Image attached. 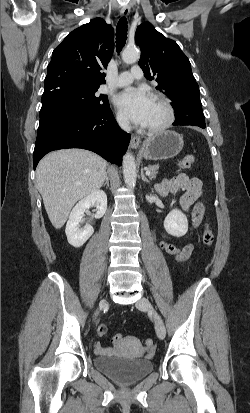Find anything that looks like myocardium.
Here are the masks:
<instances>
[{
  "label": "myocardium",
  "mask_w": 250,
  "mask_h": 413,
  "mask_svg": "<svg viewBox=\"0 0 250 413\" xmlns=\"http://www.w3.org/2000/svg\"><path fill=\"white\" fill-rule=\"evenodd\" d=\"M152 99L164 108L166 118L160 125L154 127H144V130L149 134H159L172 126L175 120V110L171 102L163 95L154 94Z\"/></svg>",
  "instance_id": "f54148a6"
}]
</instances>
